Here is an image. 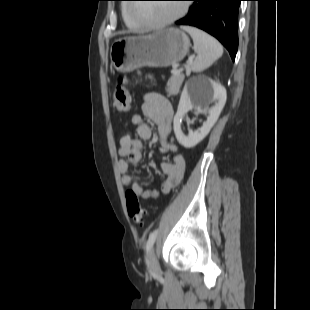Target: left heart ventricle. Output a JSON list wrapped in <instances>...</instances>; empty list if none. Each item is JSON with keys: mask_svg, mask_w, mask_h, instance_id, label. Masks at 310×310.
Instances as JSON below:
<instances>
[{"mask_svg": "<svg viewBox=\"0 0 310 310\" xmlns=\"http://www.w3.org/2000/svg\"><path fill=\"white\" fill-rule=\"evenodd\" d=\"M181 8L179 4L153 3L133 6V14L151 22H161L176 15Z\"/></svg>", "mask_w": 310, "mask_h": 310, "instance_id": "1", "label": "left heart ventricle"}]
</instances>
